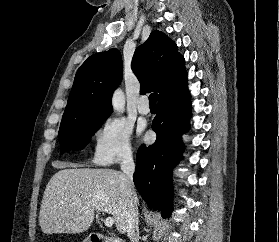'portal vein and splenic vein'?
Listing matches in <instances>:
<instances>
[{"mask_svg":"<svg viewBox=\"0 0 279 242\" xmlns=\"http://www.w3.org/2000/svg\"><path fill=\"white\" fill-rule=\"evenodd\" d=\"M113 223H114V220L111 217H106L104 219V224L106 227H112Z\"/></svg>","mask_w":279,"mask_h":242,"instance_id":"obj_1","label":"portal vein and splenic vein"}]
</instances>
